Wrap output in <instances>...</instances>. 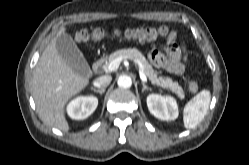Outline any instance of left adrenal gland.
Returning <instances> with one entry per match:
<instances>
[{"label":"left adrenal gland","instance_id":"left-adrenal-gland-1","mask_svg":"<svg viewBox=\"0 0 249 165\" xmlns=\"http://www.w3.org/2000/svg\"><path fill=\"white\" fill-rule=\"evenodd\" d=\"M142 86H143L142 92H144L145 90H151V88L148 87L143 81H142Z\"/></svg>","mask_w":249,"mask_h":165}]
</instances>
